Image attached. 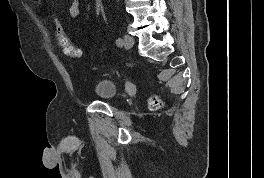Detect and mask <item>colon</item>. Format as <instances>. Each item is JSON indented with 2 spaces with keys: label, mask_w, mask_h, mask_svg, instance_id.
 <instances>
[{
  "label": "colon",
  "mask_w": 264,
  "mask_h": 178,
  "mask_svg": "<svg viewBox=\"0 0 264 178\" xmlns=\"http://www.w3.org/2000/svg\"><path fill=\"white\" fill-rule=\"evenodd\" d=\"M34 1L39 2V0H34ZM48 20L50 21L54 29L56 39L58 41V44L62 52L71 58H75V59L80 58L83 54L82 50L70 42L59 19L56 18L54 15H49ZM150 106L154 109L160 108L161 107L160 99L158 97H152L150 101Z\"/></svg>",
  "instance_id": "obj_1"
}]
</instances>
